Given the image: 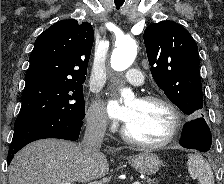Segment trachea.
I'll list each match as a JSON object with an SVG mask.
<instances>
[{"instance_id":"trachea-1","label":"trachea","mask_w":224,"mask_h":184,"mask_svg":"<svg viewBox=\"0 0 224 184\" xmlns=\"http://www.w3.org/2000/svg\"><path fill=\"white\" fill-rule=\"evenodd\" d=\"M124 1L125 0H114L116 8L119 9L123 5Z\"/></svg>"}]
</instances>
